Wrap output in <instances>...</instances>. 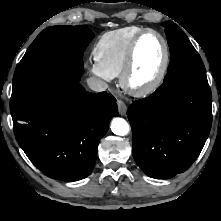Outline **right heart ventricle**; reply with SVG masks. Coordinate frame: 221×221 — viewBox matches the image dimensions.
Returning <instances> with one entry per match:
<instances>
[{
    "instance_id": "right-heart-ventricle-1",
    "label": "right heart ventricle",
    "mask_w": 221,
    "mask_h": 221,
    "mask_svg": "<svg viewBox=\"0 0 221 221\" xmlns=\"http://www.w3.org/2000/svg\"><path fill=\"white\" fill-rule=\"evenodd\" d=\"M140 26H127L107 31L100 36L93 50L95 60L112 77L120 75L132 39L142 31Z\"/></svg>"
}]
</instances>
